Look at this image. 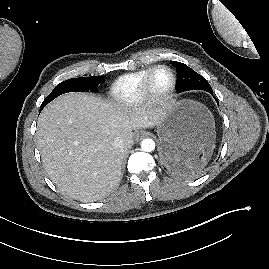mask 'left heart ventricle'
<instances>
[{
  "label": "left heart ventricle",
  "mask_w": 269,
  "mask_h": 269,
  "mask_svg": "<svg viewBox=\"0 0 269 269\" xmlns=\"http://www.w3.org/2000/svg\"><path fill=\"white\" fill-rule=\"evenodd\" d=\"M171 77L167 70H158L152 80V91L155 94L163 93L170 85Z\"/></svg>",
  "instance_id": "obj_1"
}]
</instances>
